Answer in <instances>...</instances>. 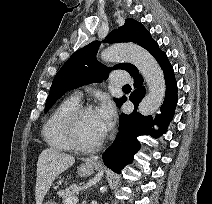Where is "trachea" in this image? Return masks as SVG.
Masks as SVG:
<instances>
[{"instance_id":"obj_1","label":"trachea","mask_w":212,"mask_h":204,"mask_svg":"<svg viewBox=\"0 0 212 204\" xmlns=\"http://www.w3.org/2000/svg\"><path fill=\"white\" fill-rule=\"evenodd\" d=\"M123 89H131L130 85L123 86Z\"/></svg>"}]
</instances>
